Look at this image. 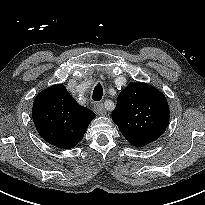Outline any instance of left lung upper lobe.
<instances>
[{"instance_id": "obj_1", "label": "left lung upper lobe", "mask_w": 205, "mask_h": 205, "mask_svg": "<svg viewBox=\"0 0 205 205\" xmlns=\"http://www.w3.org/2000/svg\"><path fill=\"white\" fill-rule=\"evenodd\" d=\"M112 119L123 136L136 146L155 141L169 123L166 97L145 83H130L118 96Z\"/></svg>"}]
</instances>
